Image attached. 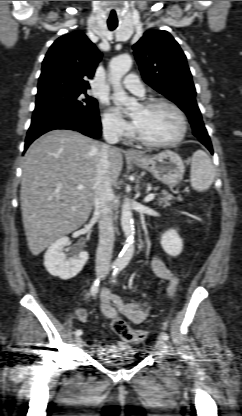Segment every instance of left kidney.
Masks as SVG:
<instances>
[{"instance_id": "1", "label": "left kidney", "mask_w": 242, "mask_h": 416, "mask_svg": "<svg viewBox=\"0 0 242 416\" xmlns=\"http://www.w3.org/2000/svg\"><path fill=\"white\" fill-rule=\"evenodd\" d=\"M160 243L164 251L171 256H178L183 249V240L174 229L166 231L161 236Z\"/></svg>"}]
</instances>
